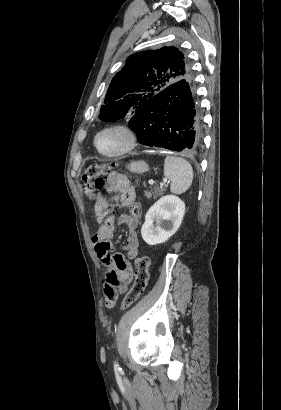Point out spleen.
Returning <instances> with one entry per match:
<instances>
[{"label": "spleen", "instance_id": "spleen-1", "mask_svg": "<svg viewBox=\"0 0 281 410\" xmlns=\"http://www.w3.org/2000/svg\"><path fill=\"white\" fill-rule=\"evenodd\" d=\"M164 175L170 181V191L181 194L192 184L193 169L185 159L167 156L164 161Z\"/></svg>", "mask_w": 281, "mask_h": 410}]
</instances>
